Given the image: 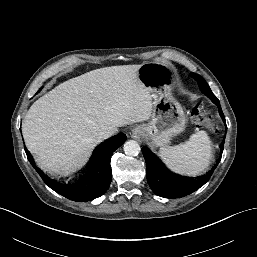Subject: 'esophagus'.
<instances>
[{"mask_svg":"<svg viewBox=\"0 0 257 257\" xmlns=\"http://www.w3.org/2000/svg\"><path fill=\"white\" fill-rule=\"evenodd\" d=\"M130 136L133 139L140 141L143 138V131L139 127H135L131 130Z\"/></svg>","mask_w":257,"mask_h":257,"instance_id":"obj_1","label":"esophagus"}]
</instances>
